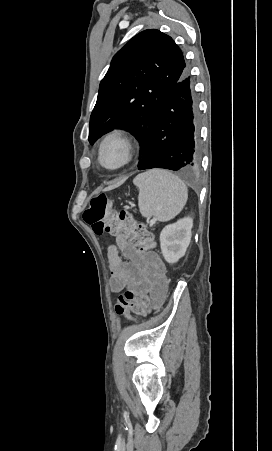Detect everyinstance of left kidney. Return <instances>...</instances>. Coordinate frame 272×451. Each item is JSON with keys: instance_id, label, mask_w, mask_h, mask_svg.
Returning a JSON list of instances; mask_svg holds the SVG:
<instances>
[{"instance_id": "1", "label": "left kidney", "mask_w": 272, "mask_h": 451, "mask_svg": "<svg viewBox=\"0 0 272 451\" xmlns=\"http://www.w3.org/2000/svg\"><path fill=\"white\" fill-rule=\"evenodd\" d=\"M192 226V218H183V220H178L176 224L163 227L160 233V245L164 259L168 263H175L185 255L192 235Z\"/></svg>"}]
</instances>
